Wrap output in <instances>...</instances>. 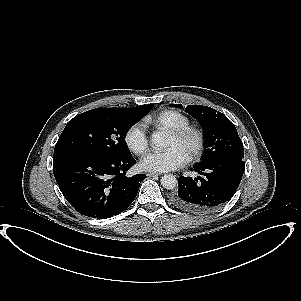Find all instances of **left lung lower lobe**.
I'll return each mask as SVG.
<instances>
[{
	"label": "left lung lower lobe",
	"mask_w": 301,
	"mask_h": 301,
	"mask_svg": "<svg viewBox=\"0 0 301 301\" xmlns=\"http://www.w3.org/2000/svg\"><path fill=\"white\" fill-rule=\"evenodd\" d=\"M245 164L235 156L224 157L204 167L194 166L199 177L181 176L178 187L170 196L175 207L193 212H213L229 201L242 179Z\"/></svg>",
	"instance_id": "0a47b994"
}]
</instances>
